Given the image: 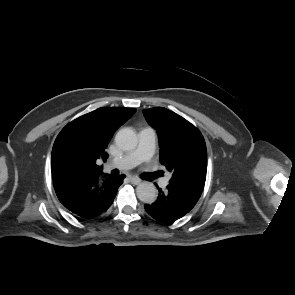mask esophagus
<instances>
[{
    "instance_id": "esophagus-1",
    "label": "esophagus",
    "mask_w": 295,
    "mask_h": 295,
    "mask_svg": "<svg viewBox=\"0 0 295 295\" xmlns=\"http://www.w3.org/2000/svg\"><path fill=\"white\" fill-rule=\"evenodd\" d=\"M129 179H130V182L135 185H137L141 182V179H139L138 177H135V176H130Z\"/></svg>"
}]
</instances>
